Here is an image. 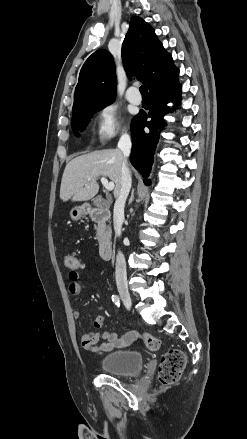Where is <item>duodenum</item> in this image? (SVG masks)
Masks as SVG:
<instances>
[{"label":"duodenum","mask_w":247,"mask_h":439,"mask_svg":"<svg viewBox=\"0 0 247 439\" xmlns=\"http://www.w3.org/2000/svg\"><path fill=\"white\" fill-rule=\"evenodd\" d=\"M89 214L92 220L99 224H104L110 218V211L107 208L101 207H91L89 209ZM113 243L108 237H103L99 244V254L101 258L108 260L112 256Z\"/></svg>","instance_id":"410a0bca"}]
</instances>
